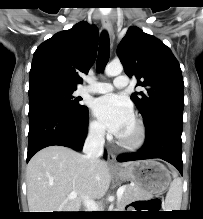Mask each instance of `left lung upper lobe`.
Wrapping results in <instances>:
<instances>
[{
  "instance_id": "1",
  "label": "left lung upper lobe",
  "mask_w": 203,
  "mask_h": 219,
  "mask_svg": "<svg viewBox=\"0 0 203 219\" xmlns=\"http://www.w3.org/2000/svg\"><path fill=\"white\" fill-rule=\"evenodd\" d=\"M117 53L125 73L137 78L136 86L145 88L131 95L145 125L164 113L183 112V77L169 47L132 26L118 45Z\"/></svg>"
}]
</instances>
